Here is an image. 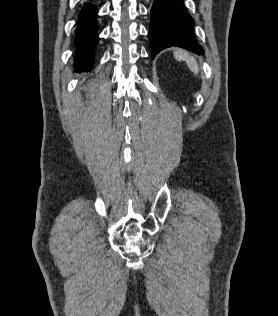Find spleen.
<instances>
[{
    "label": "spleen",
    "instance_id": "spleen-1",
    "mask_svg": "<svg viewBox=\"0 0 278 316\" xmlns=\"http://www.w3.org/2000/svg\"><path fill=\"white\" fill-rule=\"evenodd\" d=\"M174 57L177 61H185L189 69L197 74L199 72V66L196 60L190 56L186 51L177 49L174 51Z\"/></svg>",
    "mask_w": 278,
    "mask_h": 316
}]
</instances>
